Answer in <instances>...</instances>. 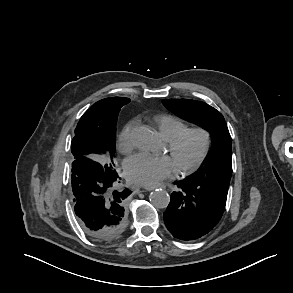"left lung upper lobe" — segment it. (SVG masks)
Wrapping results in <instances>:
<instances>
[{"mask_svg":"<svg viewBox=\"0 0 293 293\" xmlns=\"http://www.w3.org/2000/svg\"><path fill=\"white\" fill-rule=\"evenodd\" d=\"M165 107L179 117L210 132L212 148L205 167L190 178L199 182L230 183L232 174V139L224 117L210 105L190 99H164Z\"/></svg>","mask_w":293,"mask_h":293,"instance_id":"obj_1","label":"left lung upper lobe"}]
</instances>
